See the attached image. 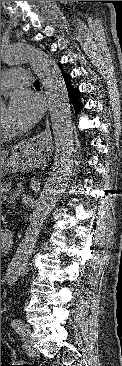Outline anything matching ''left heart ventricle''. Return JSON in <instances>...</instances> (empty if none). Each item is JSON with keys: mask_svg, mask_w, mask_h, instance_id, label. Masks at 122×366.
Wrapping results in <instances>:
<instances>
[{"mask_svg": "<svg viewBox=\"0 0 122 366\" xmlns=\"http://www.w3.org/2000/svg\"><path fill=\"white\" fill-rule=\"evenodd\" d=\"M6 108L1 106V132L10 133L13 130L8 126L5 118Z\"/></svg>", "mask_w": 122, "mask_h": 366, "instance_id": "left-heart-ventricle-1", "label": "left heart ventricle"}]
</instances>
